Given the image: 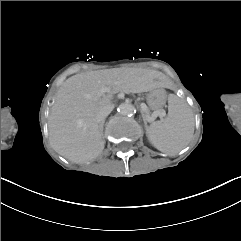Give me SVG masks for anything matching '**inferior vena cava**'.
Here are the masks:
<instances>
[{"instance_id": "inferior-vena-cava-1", "label": "inferior vena cava", "mask_w": 241, "mask_h": 241, "mask_svg": "<svg viewBox=\"0 0 241 241\" xmlns=\"http://www.w3.org/2000/svg\"><path fill=\"white\" fill-rule=\"evenodd\" d=\"M114 105H111L109 107H107L106 109L100 111L97 115H96V122L99 125H102L105 121V118L110 114V112L113 110Z\"/></svg>"}]
</instances>
